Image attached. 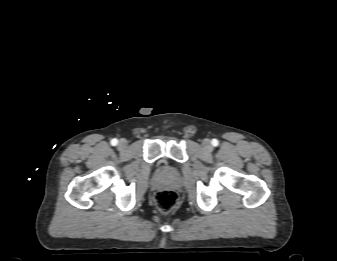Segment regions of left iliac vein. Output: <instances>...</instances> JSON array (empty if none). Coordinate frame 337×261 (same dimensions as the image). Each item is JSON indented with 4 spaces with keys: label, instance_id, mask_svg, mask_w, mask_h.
I'll return each mask as SVG.
<instances>
[{
    "label": "left iliac vein",
    "instance_id": "4c4485c4",
    "mask_svg": "<svg viewBox=\"0 0 337 261\" xmlns=\"http://www.w3.org/2000/svg\"><path fill=\"white\" fill-rule=\"evenodd\" d=\"M203 146L205 147V149L207 150H211L212 149V145L209 139H204L203 140Z\"/></svg>",
    "mask_w": 337,
    "mask_h": 261
}]
</instances>
